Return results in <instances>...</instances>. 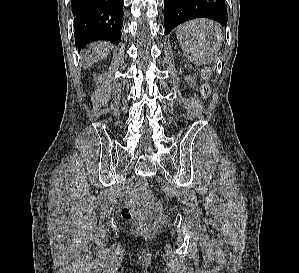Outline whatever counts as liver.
<instances>
[{"label":"liver","mask_w":299,"mask_h":273,"mask_svg":"<svg viewBox=\"0 0 299 273\" xmlns=\"http://www.w3.org/2000/svg\"><path fill=\"white\" fill-rule=\"evenodd\" d=\"M111 50V45L109 43H98L92 46L91 50H88V55L85 58L86 68L91 67L94 63L103 59L108 55Z\"/></svg>","instance_id":"obj_1"}]
</instances>
